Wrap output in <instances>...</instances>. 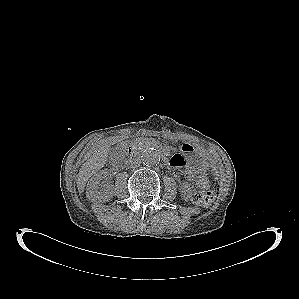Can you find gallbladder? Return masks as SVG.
<instances>
[{
  "instance_id": "1",
  "label": "gallbladder",
  "mask_w": 299,
  "mask_h": 299,
  "mask_svg": "<svg viewBox=\"0 0 299 299\" xmlns=\"http://www.w3.org/2000/svg\"><path fill=\"white\" fill-rule=\"evenodd\" d=\"M123 150H124V146L122 144H117L111 148L110 152L112 155H115L121 153Z\"/></svg>"
}]
</instances>
